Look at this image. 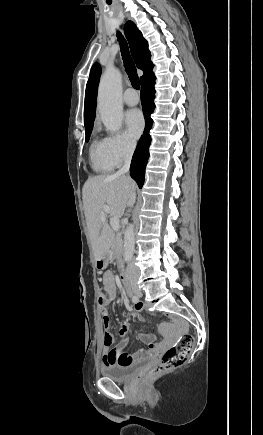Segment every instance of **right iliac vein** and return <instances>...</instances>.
<instances>
[{
    "label": "right iliac vein",
    "instance_id": "right-iliac-vein-1",
    "mask_svg": "<svg viewBox=\"0 0 263 435\" xmlns=\"http://www.w3.org/2000/svg\"><path fill=\"white\" fill-rule=\"evenodd\" d=\"M133 293H135L136 295L140 294V290L137 287L133 288Z\"/></svg>",
    "mask_w": 263,
    "mask_h": 435
}]
</instances>
